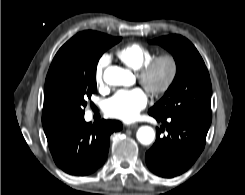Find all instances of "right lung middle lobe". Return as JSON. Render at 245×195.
<instances>
[{
    "mask_svg": "<svg viewBox=\"0 0 245 195\" xmlns=\"http://www.w3.org/2000/svg\"><path fill=\"white\" fill-rule=\"evenodd\" d=\"M120 40L105 34L96 38H71L55 55L45 91L68 122L84 116L86 100L96 91L98 60Z\"/></svg>",
    "mask_w": 245,
    "mask_h": 195,
    "instance_id": "1",
    "label": "right lung middle lobe"
}]
</instances>
